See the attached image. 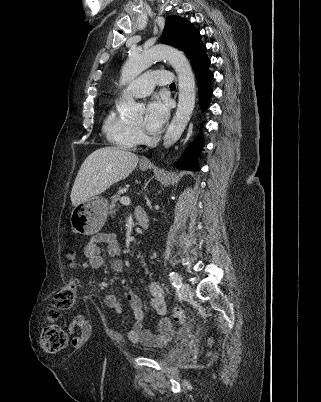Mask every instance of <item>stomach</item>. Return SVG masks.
<instances>
[{
  "mask_svg": "<svg viewBox=\"0 0 321 402\" xmlns=\"http://www.w3.org/2000/svg\"><path fill=\"white\" fill-rule=\"evenodd\" d=\"M147 168V166L140 165V169L143 171ZM107 215V199L93 196L73 209L70 217L72 229L81 235H94L104 226Z\"/></svg>",
  "mask_w": 321,
  "mask_h": 402,
  "instance_id": "obj_1",
  "label": "stomach"
}]
</instances>
